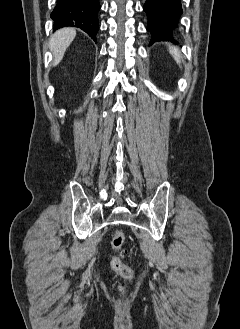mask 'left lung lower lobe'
Here are the masks:
<instances>
[{
    "instance_id": "0a47b994",
    "label": "left lung lower lobe",
    "mask_w": 240,
    "mask_h": 329,
    "mask_svg": "<svg viewBox=\"0 0 240 329\" xmlns=\"http://www.w3.org/2000/svg\"><path fill=\"white\" fill-rule=\"evenodd\" d=\"M143 9L148 17L147 30L151 34L150 44L155 41L177 43L175 31L183 12L180 0H146Z\"/></svg>"
}]
</instances>
